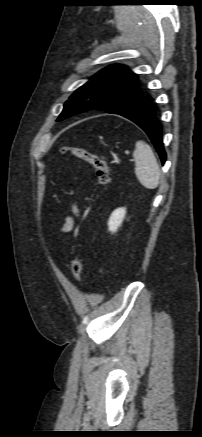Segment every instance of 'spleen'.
Returning <instances> with one entry per match:
<instances>
[{"instance_id":"3e777b00","label":"spleen","mask_w":202,"mask_h":437,"mask_svg":"<svg viewBox=\"0 0 202 437\" xmlns=\"http://www.w3.org/2000/svg\"><path fill=\"white\" fill-rule=\"evenodd\" d=\"M133 157L135 174L139 182L147 189L157 188L160 180V168L151 147L142 140L137 141Z\"/></svg>"}]
</instances>
